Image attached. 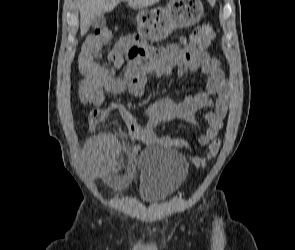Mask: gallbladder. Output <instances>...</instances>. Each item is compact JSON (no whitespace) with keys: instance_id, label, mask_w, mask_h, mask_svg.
<instances>
[{"instance_id":"1","label":"gallbladder","mask_w":295,"mask_h":250,"mask_svg":"<svg viewBox=\"0 0 295 250\" xmlns=\"http://www.w3.org/2000/svg\"><path fill=\"white\" fill-rule=\"evenodd\" d=\"M91 25L93 28H97V29L104 28L106 25V19L103 15L97 16L92 20Z\"/></svg>"}]
</instances>
